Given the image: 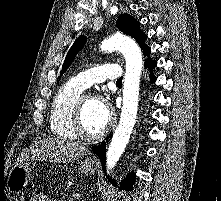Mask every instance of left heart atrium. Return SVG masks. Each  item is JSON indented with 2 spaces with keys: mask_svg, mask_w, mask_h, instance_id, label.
Masks as SVG:
<instances>
[{
  "mask_svg": "<svg viewBox=\"0 0 221 201\" xmlns=\"http://www.w3.org/2000/svg\"><path fill=\"white\" fill-rule=\"evenodd\" d=\"M104 110H105L106 115L110 118L111 113H110L109 108L106 105H104Z\"/></svg>",
  "mask_w": 221,
  "mask_h": 201,
  "instance_id": "39dd6f15",
  "label": "left heart atrium"
}]
</instances>
